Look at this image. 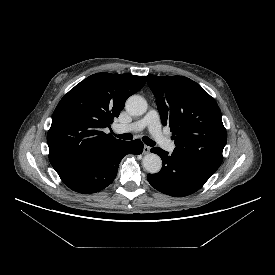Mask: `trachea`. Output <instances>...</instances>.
I'll list each match as a JSON object with an SVG mask.
<instances>
[{
	"instance_id": "trachea-1",
	"label": "trachea",
	"mask_w": 275,
	"mask_h": 275,
	"mask_svg": "<svg viewBox=\"0 0 275 275\" xmlns=\"http://www.w3.org/2000/svg\"><path fill=\"white\" fill-rule=\"evenodd\" d=\"M115 136L117 138L123 139V140H132L133 139V136L130 133H124V134H119V135L115 134ZM142 140L148 146H154L155 145V142L152 139H150L146 136H143Z\"/></svg>"
}]
</instances>
